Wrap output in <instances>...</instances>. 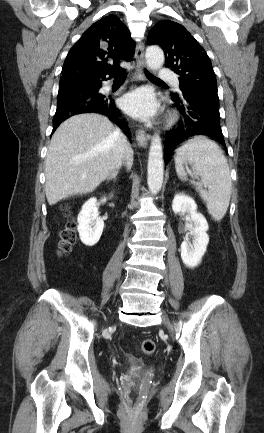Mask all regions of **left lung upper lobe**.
I'll return each mask as SVG.
<instances>
[{
  "label": "left lung upper lobe",
  "instance_id": "5c2ea615",
  "mask_svg": "<svg viewBox=\"0 0 264 433\" xmlns=\"http://www.w3.org/2000/svg\"><path fill=\"white\" fill-rule=\"evenodd\" d=\"M148 42L162 47L166 66L179 75L181 92L205 90L217 94L216 77L207 53L182 25L160 21L150 30Z\"/></svg>",
  "mask_w": 264,
  "mask_h": 433
}]
</instances>
